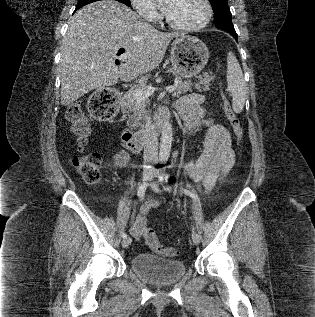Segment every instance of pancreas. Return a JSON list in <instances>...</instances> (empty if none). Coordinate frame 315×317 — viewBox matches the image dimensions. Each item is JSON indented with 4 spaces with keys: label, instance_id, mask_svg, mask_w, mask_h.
<instances>
[{
    "label": "pancreas",
    "instance_id": "obj_1",
    "mask_svg": "<svg viewBox=\"0 0 315 317\" xmlns=\"http://www.w3.org/2000/svg\"><path fill=\"white\" fill-rule=\"evenodd\" d=\"M198 82L192 83L191 80L183 81L182 78L177 79L175 86L176 89L172 92L173 97H180V95L186 93L187 91H192V87L199 91H207L211 82L214 80L215 75L204 73L203 76H197ZM148 87L137 86L130 89L124 96L126 104L129 106L128 111H124L126 116H128L127 124L135 127L142 118L143 114L146 113L145 107L148 105V99L138 101L135 97V90H146Z\"/></svg>",
    "mask_w": 315,
    "mask_h": 317
}]
</instances>
